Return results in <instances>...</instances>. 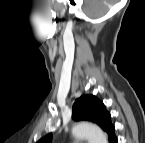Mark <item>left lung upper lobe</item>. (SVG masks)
Listing matches in <instances>:
<instances>
[{
  "instance_id": "left-lung-upper-lobe-1",
  "label": "left lung upper lobe",
  "mask_w": 145,
  "mask_h": 143,
  "mask_svg": "<svg viewBox=\"0 0 145 143\" xmlns=\"http://www.w3.org/2000/svg\"><path fill=\"white\" fill-rule=\"evenodd\" d=\"M72 118L76 121L85 120L98 124L107 132L109 140L115 137L111 116L104 104L94 95H83L75 101ZM51 138L52 134H48L39 140V143H50Z\"/></svg>"
}]
</instances>
